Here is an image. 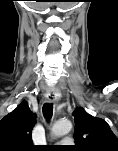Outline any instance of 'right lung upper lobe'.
<instances>
[{"mask_svg":"<svg viewBox=\"0 0 118 151\" xmlns=\"http://www.w3.org/2000/svg\"><path fill=\"white\" fill-rule=\"evenodd\" d=\"M35 114L22 102L0 121V151H31Z\"/></svg>","mask_w":118,"mask_h":151,"instance_id":"1","label":"right lung upper lobe"}]
</instances>
